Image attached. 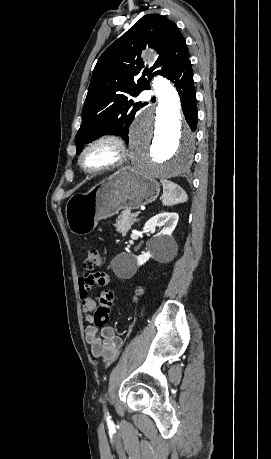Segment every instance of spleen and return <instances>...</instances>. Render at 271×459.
<instances>
[{
  "label": "spleen",
  "instance_id": "3e777b00",
  "mask_svg": "<svg viewBox=\"0 0 271 459\" xmlns=\"http://www.w3.org/2000/svg\"><path fill=\"white\" fill-rule=\"evenodd\" d=\"M163 186L162 204L163 206H174V204H180V202H186L178 198L177 184L169 182V180H160Z\"/></svg>",
  "mask_w": 271,
  "mask_h": 459
}]
</instances>
